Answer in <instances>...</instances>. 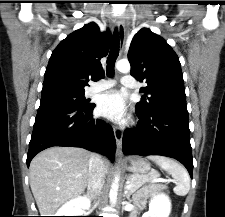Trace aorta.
<instances>
[{
  "instance_id": "aorta-1",
  "label": "aorta",
  "mask_w": 225,
  "mask_h": 217,
  "mask_svg": "<svg viewBox=\"0 0 225 217\" xmlns=\"http://www.w3.org/2000/svg\"><path fill=\"white\" fill-rule=\"evenodd\" d=\"M116 68L118 71L122 72V73H128L130 72V64L128 61H119L116 63ZM116 200V198H111V202L114 203Z\"/></svg>"
}]
</instances>
